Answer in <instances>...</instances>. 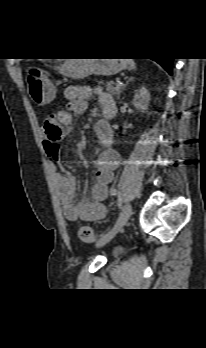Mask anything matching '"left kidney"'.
<instances>
[{
    "mask_svg": "<svg viewBox=\"0 0 206 348\" xmlns=\"http://www.w3.org/2000/svg\"><path fill=\"white\" fill-rule=\"evenodd\" d=\"M150 94L145 87H142L135 95L132 101L133 105L142 111H146L150 104Z\"/></svg>",
    "mask_w": 206,
    "mask_h": 348,
    "instance_id": "left-kidney-1",
    "label": "left kidney"
}]
</instances>
